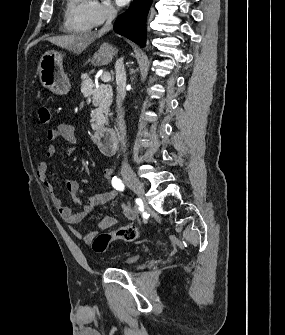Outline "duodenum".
Here are the masks:
<instances>
[{"label": "duodenum", "mask_w": 285, "mask_h": 335, "mask_svg": "<svg viewBox=\"0 0 285 335\" xmlns=\"http://www.w3.org/2000/svg\"><path fill=\"white\" fill-rule=\"evenodd\" d=\"M95 142L100 151L108 156L114 155L117 150L118 139L114 129L99 127L94 133Z\"/></svg>", "instance_id": "410a0bca"}]
</instances>
